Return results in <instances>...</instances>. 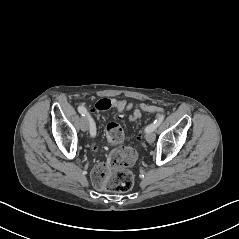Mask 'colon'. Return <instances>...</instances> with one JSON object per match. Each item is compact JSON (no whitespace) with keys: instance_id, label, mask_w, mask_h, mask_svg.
<instances>
[{"instance_id":"colon-1","label":"colon","mask_w":239,"mask_h":239,"mask_svg":"<svg viewBox=\"0 0 239 239\" xmlns=\"http://www.w3.org/2000/svg\"><path fill=\"white\" fill-rule=\"evenodd\" d=\"M113 99L103 98L95 104V111L102 112L114 108ZM141 109L148 114H159L161 107L142 104ZM106 137L111 145H118L124 138L122 127L115 122L106 126ZM136 153L128 147L116 149L112 152L107 163L98 164L92 172L94 185L102 190L125 193L134 185V174L130 170L135 161Z\"/></svg>"}]
</instances>
